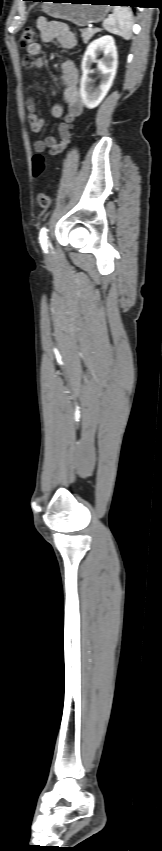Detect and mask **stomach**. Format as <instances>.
<instances>
[{
    "instance_id": "0dacf381",
    "label": "stomach",
    "mask_w": 162,
    "mask_h": 851,
    "mask_svg": "<svg viewBox=\"0 0 162 851\" xmlns=\"http://www.w3.org/2000/svg\"><path fill=\"white\" fill-rule=\"evenodd\" d=\"M45 1V0H43ZM44 2L43 11L57 19L70 21L78 26H86L102 21L110 6L107 0H51Z\"/></svg>"
}]
</instances>
